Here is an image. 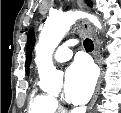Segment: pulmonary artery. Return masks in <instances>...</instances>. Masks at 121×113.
<instances>
[{
  "mask_svg": "<svg viewBox=\"0 0 121 113\" xmlns=\"http://www.w3.org/2000/svg\"><path fill=\"white\" fill-rule=\"evenodd\" d=\"M75 44L76 42L74 40H70L60 45L54 54V61L57 63L69 61L73 55L72 46Z\"/></svg>",
  "mask_w": 121,
  "mask_h": 113,
  "instance_id": "pulmonary-artery-1",
  "label": "pulmonary artery"
}]
</instances>
